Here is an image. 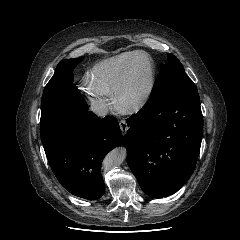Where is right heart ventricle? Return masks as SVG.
<instances>
[{"mask_svg":"<svg viewBox=\"0 0 240 240\" xmlns=\"http://www.w3.org/2000/svg\"><path fill=\"white\" fill-rule=\"evenodd\" d=\"M130 60H133L136 68H140L149 60V57L144 51L140 50L124 52L111 57L102 61L94 68L93 73L95 80L104 86L108 91H112L123 67Z\"/></svg>","mask_w":240,"mask_h":240,"instance_id":"1","label":"right heart ventricle"}]
</instances>
